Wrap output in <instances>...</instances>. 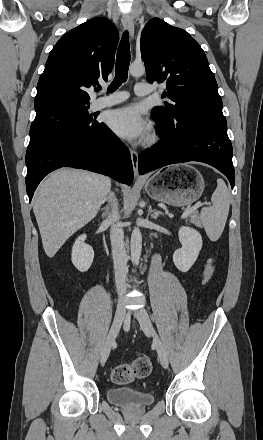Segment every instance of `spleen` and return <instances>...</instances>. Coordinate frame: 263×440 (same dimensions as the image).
<instances>
[{
	"mask_svg": "<svg viewBox=\"0 0 263 440\" xmlns=\"http://www.w3.org/2000/svg\"><path fill=\"white\" fill-rule=\"evenodd\" d=\"M230 198V192L223 179H217V187L211 197L212 206L201 210V220L211 241H217L224 230Z\"/></svg>",
	"mask_w": 263,
	"mask_h": 440,
	"instance_id": "1",
	"label": "spleen"
}]
</instances>
